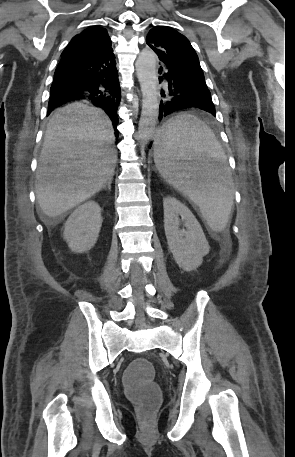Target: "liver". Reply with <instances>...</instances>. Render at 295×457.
I'll return each instance as SVG.
<instances>
[{"mask_svg":"<svg viewBox=\"0 0 295 457\" xmlns=\"http://www.w3.org/2000/svg\"><path fill=\"white\" fill-rule=\"evenodd\" d=\"M114 131L103 110L85 103L57 109L47 125L36 171L37 202L50 218L88 200L112 180Z\"/></svg>","mask_w":295,"mask_h":457,"instance_id":"liver-1","label":"liver"}]
</instances>
